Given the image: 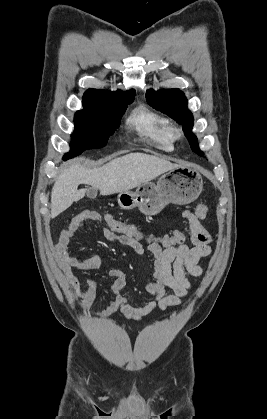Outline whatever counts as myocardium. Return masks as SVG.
<instances>
[{
    "label": "myocardium",
    "mask_w": 267,
    "mask_h": 419,
    "mask_svg": "<svg viewBox=\"0 0 267 419\" xmlns=\"http://www.w3.org/2000/svg\"><path fill=\"white\" fill-rule=\"evenodd\" d=\"M171 133L174 139H179L182 136V130L178 126H172Z\"/></svg>",
    "instance_id": "f54148a6"
}]
</instances>
